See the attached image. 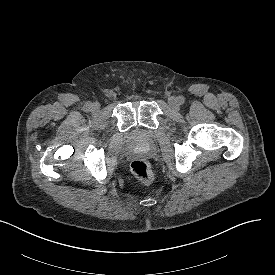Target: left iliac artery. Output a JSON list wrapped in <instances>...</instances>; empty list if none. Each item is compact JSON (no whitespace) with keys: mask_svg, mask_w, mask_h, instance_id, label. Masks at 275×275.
I'll list each match as a JSON object with an SVG mask.
<instances>
[{"mask_svg":"<svg viewBox=\"0 0 275 275\" xmlns=\"http://www.w3.org/2000/svg\"><path fill=\"white\" fill-rule=\"evenodd\" d=\"M177 99L179 101V104H181V105L184 104L185 98L183 96H179Z\"/></svg>","mask_w":275,"mask_h":275,"instance_id":"left-iliac-artery-1","label":"left iliac artery"}]
</instances>
